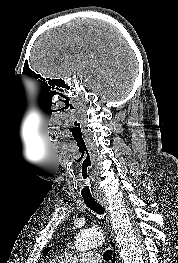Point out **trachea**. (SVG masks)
<instances>
[{"label": "trachea", "instance_id": "3493384b", "mask_svg": "<svg viewBox=\"0 0 178 263\" xmlns=\"http://www.w3.org/2000/svg\"><path fill=\"white\" fill-rule=\"evenodd\" d=\"M80 177H81V181H82L80 192H81V196H82L86 206L89 207L96 214L103 215L104 214L103 207L100 206L95 201V199L92 196L91 187H90V185H89V183L87 181V179H88V169H87V167H83L82 166L81 176ZM112 253H113V251L111 249L110 250H106L104 255H103L104 259L106 261L112 260Z\"/></svg>", "mask_w": 178, "mask_h": 263}]
</instances>
